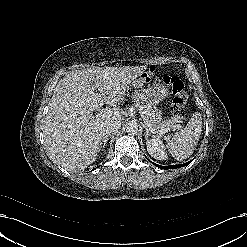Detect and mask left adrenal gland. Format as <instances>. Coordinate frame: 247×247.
I'll return each mask as SVG.
<instances>
[{"label": "left adrenal gland", "mask_w": 247, "mask_h": 247, "mask_svg": "<svg viewBox=\"0 0 247 247\" xmlns=\"http://www.w3.org/2000/svg\"><path fill=\"white\" fill-rule=\"evenodd\" d=\"M143 128L145 129V139L148 140V136L150 135V131L146 125H143Z\"/></svg>", "instance_id": "1"}]
</instances>
